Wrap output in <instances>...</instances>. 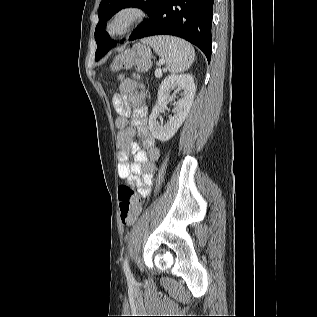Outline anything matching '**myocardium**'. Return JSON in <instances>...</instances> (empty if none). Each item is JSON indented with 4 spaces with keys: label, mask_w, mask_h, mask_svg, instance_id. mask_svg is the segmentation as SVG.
Here are the masks:
<instances>
[{
    "label": "myocardium",
    "mask_w": 317,
    "mask_h": 317,
    "mask_svg": "<svg viewBox=\"0 0 317 317\" xmlns=\"http://www.w3.org/2000/svg\"><path fill=\"white\" fill-rule=\"evenodd\" d=\"M146 13L134 5H125L115 10L106 22V33L110 38L126 35L137 27Z\"/></svg>",
    "instance_id": "f54148a6"
}]
</instances>
